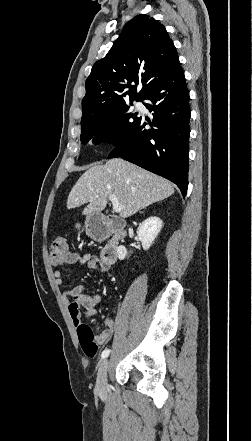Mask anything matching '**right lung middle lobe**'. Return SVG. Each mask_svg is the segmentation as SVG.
Segmentation results:
<instances>
[{
	"label": "right lung middle lobe",
	"mask_w": 252,
	"mask_h": 441,
	"mask_svg": "<svg viewBox=\"0 0 252 441\" xmlns=\"http://www.w3.org/2000/svg\"><path fill=\"white\" fill-rule=\"evenodd\" d=\"M139 119L126 104L101 112L81 124V142L92 140L97 145L108 141L115 146L129 135Z\"/></svg>",
	"instance_id": "obj_1"
}]
</instances>
